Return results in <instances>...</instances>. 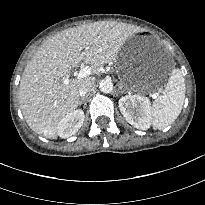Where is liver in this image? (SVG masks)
I'll list each match as a JSON object with an SVG mask.
<instances>
[{"mask_svg":"<svg viewBox=\"0 0 205 205\" xmlns=\"http://www.w3.org/2000/svg\"><path fill=\"white\" fill-rule=\"evenodd\" d=\"M135 32L125 23L98 21L63 30L47 40L28 62L20 81L19 102L29 127L48 139L57 138L60 120L79 105L81 84L92 79L64 84L60 78L82 61L96 71L115 60Z\"/></svg>","mask_w":205,"mask_h":205,"instance_id":"liver-1","label":"liver"}]
</instances>
